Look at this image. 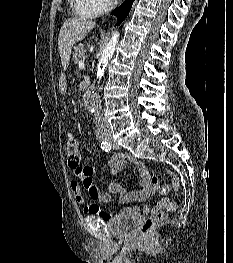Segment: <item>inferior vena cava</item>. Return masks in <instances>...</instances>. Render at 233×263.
I'll return each mask as SVG.
<instances>
[{"instance_id": "inferior-vena-cava-1", "label": "inferior vena cava", "mask_w": 233, "mask_h": 263, "mask_svg": "<svg viewBox=\"0 0 233 263\" xmlns=\"http://www.w3.org/2000/svg\"><path fill=\"white\" fill-rule=\"evenodd\" d=\"M96 120H97V123L99 124L100 128L106 129V130L110 129V126L107 122V118L103 115V110H102L101 105L97 106Z\"/></svg>"}]
</instances>
